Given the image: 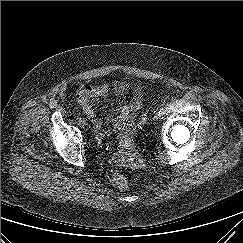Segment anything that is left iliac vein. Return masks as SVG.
<instances>
[{"instance_id":"left-iliac-vein-1","label":"left iliac vein","mask_w":243,"mask_h":243,"mask_svg":"<svg viewBox=\"0 0 243 243\" xmlns=\"http://www.w3.org/2000/svg\"><path fill=\"white\" fill-rule=\"evenodd\" d=\"M154 118H155L156 120H159V119L161 118V115L159 114V112L155 113Z\"/></svg>"}]
</instances>
